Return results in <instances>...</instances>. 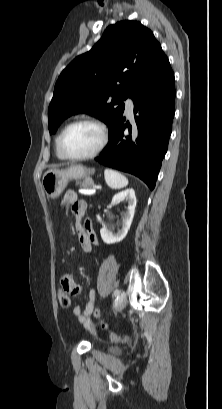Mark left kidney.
<instances>
[{
    "mask_svg": "<svg viewBox=\"0 0 222 409\" xmlns=\"http://www.w3.org/2000/svg\"><path fill=\"white\" fill-rule=\"evenodd\" d=\"M121 200H125L128 203L127 211L122 216V228L118 230L117 233H113L112 228L108 226H104L100 230L101 238L106 244L122 241L126 237L132 224L136 207L135 191L133 189L123 190L113 196L111 203L115 205Z\"/></svg>",
    "mask_w": 222,
    "mask_h": 409,
    "instance_id": "1",
    "label": "left kidney"
}]
</instances>
